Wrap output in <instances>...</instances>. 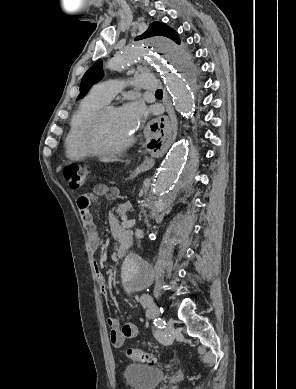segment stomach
Returning <instances> with one entry per match:
<instances>
[{
	"label": "stomach",
	"mask_w": 296,
	"mask_h": 389,
	"mask_svg": "<svg viewBox=\"0 0 296 389\" xmlns=\"http://www.w3.org/2000/svg\"><path fill=\"white\" fill-rule=\"evenodd\" d=\"M129 177H130V181L132 183H135L137 181V177H138V172L136 170H131L129 172Z\"/></svg>",
	"instance_id": "obj_1"
}]
</instances>
